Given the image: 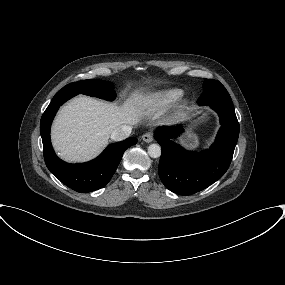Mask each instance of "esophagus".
Masks as SVG:
<instances>
[{
	"instance_id": "1",
	"label": "esophagus",
	"mask_w": 285,
	"mask_h": 285,
	"mask_svg": "<svg viewBox=\"0 0 285 285\" xmlns=\"http://www.w3.org/2000/svg\"><path fill=\"white\" fill-rule=\"evenodd\" d=\"M142 140L146 143H150L154 140V136L152 133L147 132V133L143 134Z\"/></svg>"
}]
</instances>
